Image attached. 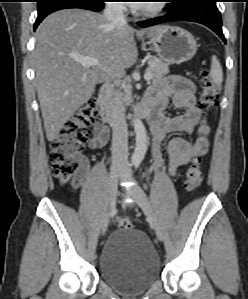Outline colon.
Masks as SVG:
<instances>
[{"instance_id": "colon-1", "label": "colon", "mask_w": 248, "mask_h": 299, "mask_svg": "<svg viewBox=\"0 0 248 299\" xmlns=\"http://www.w3.org/2000/svg\"><path fill=\"white\" fill-rule=\"evenodd\" d=\"M219 89L212 81L210 72L202 73L199 106L202 109H212L217 106ZM97 116V105L90 99L81 105L73 116L64 124L60 134L51 144L50 158L52 173L62 184H75L81 177L79 172L81 150L88 137V125ZM200 160L195 159L185 174L184 186L187 191L195 190L202 181ZM120 229L132 228V222L127 217L118 219Z\"/></svg>"}]
</instances>
